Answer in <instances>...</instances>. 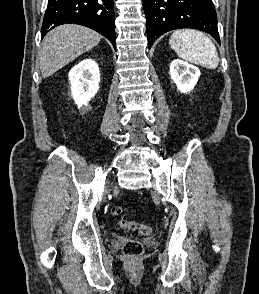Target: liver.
<instances>
[{"label":"liver","instance_id":"obj_1","mask_svg":"<svg viewBox=\"0 0 259 294\" xmlns=\"http://www.w3.org/2000/svg\"><path fill=\"white\" fill-rule=\"evenodd\" d=\"M102 36L87 27L65 24L51 30L43 39L39 66L44 78L95 47Z\"/></svg>","mask_w":259,"mask_h":294}]
</instances>
